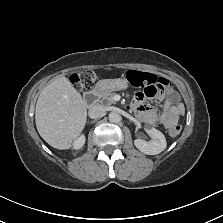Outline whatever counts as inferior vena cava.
Segmentation results:
<instances>
[{
	"label": "inferior vena cava",
	"instance_id": "1",
	"mask_svg": "<svg viewBox=\"0 0 223 223\" xmlns=\"http://www.w3.org/2000/svg\"><path fill=\"white\" fill-rule=\"evenodd\" d=\"M104 112V107L100 104L93 105L89 108L88 115L90 118H98Z\"/></svg>",
	"mask_w": 223,
	"mask_h": 223
}]
</instances>
